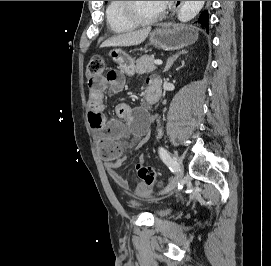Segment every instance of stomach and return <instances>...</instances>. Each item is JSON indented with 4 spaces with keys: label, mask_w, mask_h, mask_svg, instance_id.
<instances>
[{
    "label": "stomach",
    "mask_w": 271,
    "mask_h": 266,
    "mask_svg": "<svg viewBox=\"0 0 271 266\" xmlns=\"http://www.w3.org/2000/svg\"><path fill=\"white\" fill-rule=\"evenodd\" d=\"M198 31L186 25L166 24L154 30L149 37L151 44L164 50H175L195 43ZM109 56L126 73H133L134 60L121 49H113Z\"/></svg>",
    "instance_id": "1"
}]
</instances>
